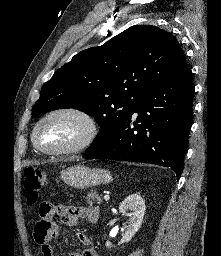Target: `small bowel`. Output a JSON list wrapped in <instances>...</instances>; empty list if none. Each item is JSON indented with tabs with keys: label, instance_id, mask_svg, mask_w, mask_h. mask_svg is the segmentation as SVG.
<instances>
[{
	"label": "small bowel",
	"instance_id": "c3829d8e",
	"mask_svg": "<svg viewBox=\"0 0 221 256\" xmlns=\"http://www.w3.org/2000/svg\"><path fill=\"white\" fill-rule=\"evenodd\" d=\"M58 217L68 227L76 225L80 220L86 219L96 223L99 218L97 207L65 206L51 202H43L39 207V220L34 227V239L40 246L43 256H54L51 241L60 236V229L54 218ZM78 240L87 248L81 252H71L70 256H99L90 248L91 240L84 232L77 233Z\"/></svg>",
	"mask_w": 221,
	"mask_h": 256
}]
</instances>
